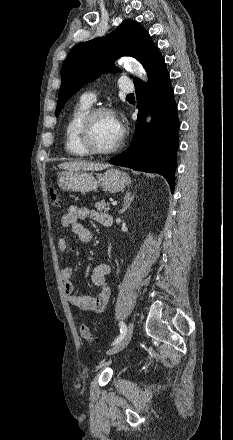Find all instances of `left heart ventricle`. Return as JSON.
Wrapping results in <instances>:
<instances>
[{"instance_id": "1", "label": "left heart ventricle", "mask_w": 233, "mask_h": 440, "mask_svg": "<svg viewBox=\"0 0 233 440\" xmlns=\"http://www.w3.org/2000/svg\"><path fill=\"white\" fill-rule=\"evenodd\" d=\"M121 134L115 117L103 114L96 117L91 128V140L99 149H109L116 144Z\"/></svg>"}]
</instances>
